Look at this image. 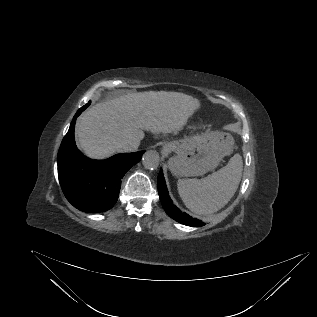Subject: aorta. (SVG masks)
<instances>
[{"mask_svg":"<svg viewBox=\"0 0 317 317\" xmlns=\"http://www.w3.org/2000/svg\"><path fill=\"white\" fill-rule=\"evenodd\" d=\"M160 163V157L157 151L148 150L143 154L142 164L148 170H155Z\"/></svg>","mask_w":317,"mask_h":317,"instance_id":"obj_1","label":"aorta"}]
</instances>
